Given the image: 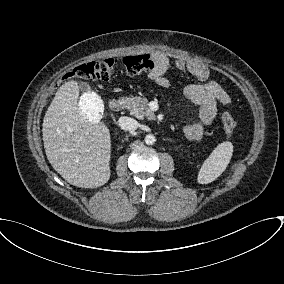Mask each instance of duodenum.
<instances>
[{
  "mask_svg": "<svg viewBox=\"0 0 284 284\" xmlns=\"http://www.w3.org/2000/svg\"><path fill=\"white\" fill-rule=\"evenodd\" d=\"M109 106L113 111H119L122 107V103L119 99L113 98L110 100Z\"/></svg>",
  "mask_w": 284,
  "mask_h": 284,
  "instance_id": "410a0bca",
  "label": "duodenum"
}]
</instances>
